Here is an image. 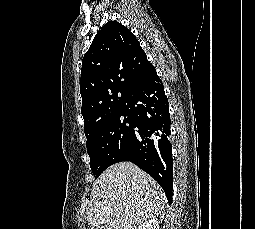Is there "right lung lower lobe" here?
<instances>
[{
	"label": "right lung lower lobe",
	"mask_w": 255,
	"mask_h": 229,
	"mask_svg": "<svg viewBox=\"0 0 255 229\" xmlns=\"http://www.w3.org/2000/svg\"><path fill=\"white\" fill-rule=\"evenodd\" d=\"M133 121L130 161L163 188L169 205L173 196V159L168 99L154 69L146 72L123 109Z\"/></svg>",
	"instance_id": "obj_1"
}]
</instances>
